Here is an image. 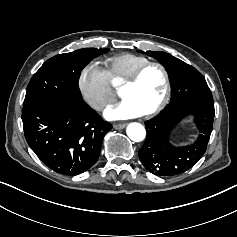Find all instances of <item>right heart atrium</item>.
<instances>
[{"instance_id": "obj_1", "label": "right heart atrium", "mask_w": 237, "mask_h": 237, "mask_svg": "<svg viewBox=\"0 0 237 237\" xmlns=\"http://www.w3.org/2000/svg\"><path fill=\"white\" fill-rule=\"evenodd\" d=\"M78 87L85 102L96 111H103L115 100L109 77L97 62H90L81 69Z\"/></svg>"}]
</instances>
